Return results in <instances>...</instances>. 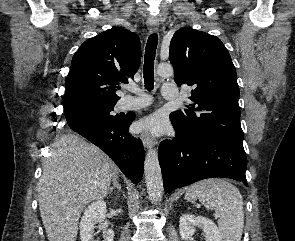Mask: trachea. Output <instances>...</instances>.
Masks as SVG:
<instances>
[{"mask_svg":"<svg viewBox=\"0 0 295 241\" xmlns=\"http://www.w3.org/2000/svg\"><path fill=\"white\" fill-rule=\"evenodd\" d=\"M157 44L158 36L154 33L150 35L146 44L143 67L145 88L148 91H151L154 88V60Z\"/></svg>","mask_w":295,"mask_h":241,"instance_id":"3493384b","label":"trachea"}]
</instances>
